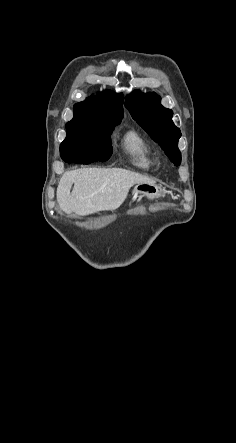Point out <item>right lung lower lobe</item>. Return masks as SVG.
I'll use <instances>...</instances> for the list:
<instances>
[{
	"label": "right lung lower lobe",
	"mask_w": 236,
	"mask_h": 443,
	"mask_svg": "<svg viewBox=\"0 0 236 443\" xmlns=\"http://www.w3.org/2000/svg\"><path fill=\"white\" fill-rule=\"evenodd\" d=\"M61 158L68 163L89 164L91 162L108 160L112 148L96 146H68L60 149Z\"/></svg>",
	"instance_id": "obj_1"
}]
</instances>
